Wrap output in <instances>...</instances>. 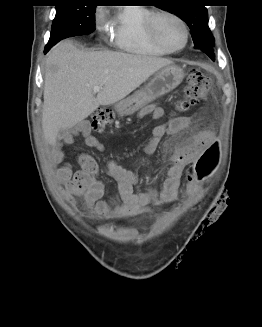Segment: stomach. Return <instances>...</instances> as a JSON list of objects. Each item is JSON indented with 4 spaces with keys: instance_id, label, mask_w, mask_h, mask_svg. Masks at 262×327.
I'll list each match as a JSON object with an SVG mask.
<instances>
[{
    "instance_id": "0dacf381",
    "label": "stomach",
    "mask_w": 262,
    "mask_h": 327,
    "mask_svg": "<svg viewBox=\"0 0 262 327\" xmlns=\"http://www.w3.org/2000/svg\"><path fill=\"white\" fill-rule=\"evenodd\" d=\"M183 70L168 65L156 72L151 81L142 89L115 104V110L121 116L132 115L155 99L175 89L183 80Z\"/></svg>"
}]
</instances>
